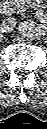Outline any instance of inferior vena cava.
Listing matches in <instances>:
<instances>
[{
	"label": "inferior vena cava",
	"mask_w": 47,
	"mask_h": 129,
	"mask_svg": "<svg viewBox=\"0 0 47 129\" xmlns=\"http://www.w3.org/2000/svg\"><path fill=\"white\" fill-rule=\"evenodd\" d=\"M17 21L15 18H7L1 24V31L5 33H10L15 27Z\"/></svg>",
	"instance_id": "inferior-vena-cava-1"
}]
</instances>
